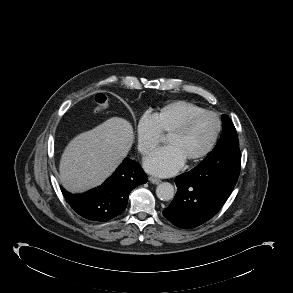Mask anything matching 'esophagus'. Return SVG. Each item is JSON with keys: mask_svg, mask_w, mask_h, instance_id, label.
Here are the masks:
<instances>
[{"mask_svg": "<svg viewBox=\"0 0 293 293\" xmlns=\"http://www.w3.org/2000/svg\"><path fill=\"white\" fill-rule=\"evenodd\" d=\"M148 180L151 182V183H153V184H159V183H161V180L160 179H158V178H156V177H153V176H150L149 178H148Z\"/></svg>", "mask_w": 293, "mask_h": 293, "instance_id": "34e87169", "label": "esophagus"}]
</instances>
